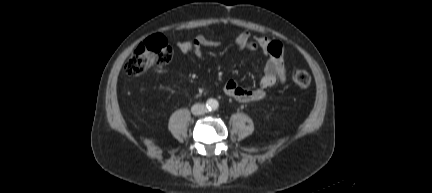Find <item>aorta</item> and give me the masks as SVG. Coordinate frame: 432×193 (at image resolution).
<instances>
[{
	"label": "aorta",
	"mask_w": 432,
	"mask_h": 193,
	"mask_svg": "<svg viewBox=\"0 0 432 193\" xmlns=\"http://www.w3.org/2000/svg\"><path fill=\"white\" fill-rule=\"evenodd\" d=\"M216 104H217V101H216V100H211L210 103H209V106H210V107H213V106L216 105Z\"/></svg>",
	"instance_id": "obj_1"
}]
</instances>
